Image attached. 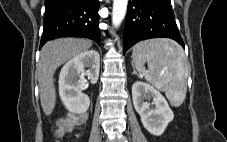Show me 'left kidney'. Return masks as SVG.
Here are the masks:
<instances>
[{"label":"left kidney","mask_w":227,"mask_h":142,"mask_svg":"<svg viewBox=\"0 0 227 142\" xmlns=\"http://www.w3.org/2000/svg\"><path fill=\"white\" fill-rule=\"evenodd\" d=\"M145 98H153V108L144 101ZM132 99L134 108L140 115L145 129L152 135H162L169 122L174 118L167 100L153 86L141 81H136L133 84Z\"/></svg>","instance_id":"left-kidney-1"}]
</instances>
